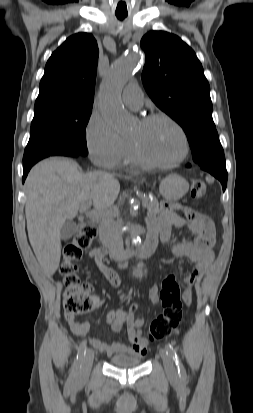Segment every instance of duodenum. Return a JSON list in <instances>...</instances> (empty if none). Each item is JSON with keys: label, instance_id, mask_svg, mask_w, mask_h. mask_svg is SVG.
<instances>
[{"label": "duodenum", "instance_id": "duodenum-1", "mask_svg": "<svg viewBox=\"0 0 253 413\" xmlns=\"http://www.w3.org/2000/svg\"><path fill=\"white\" fill-rule=\"evenodd\" d=\"M157 245L158 236L155 233L148 232L145 242L140 247H130L127 248L123 253H113L112 256L117 260H122L131 256L146 258L151 256L155 252ZM99 250L103 256H106L109 252L106 246L99 247Z\"/></svg>", "mask_w": 253, "mask_h": 413}]
</instances>
